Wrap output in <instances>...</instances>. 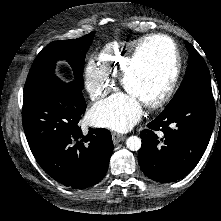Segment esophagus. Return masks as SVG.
<instances>
[{
  "label": "esophagus",
  "mask_w": 221,
  "mask_h": 221,
  "mask_svg": "<svg viewBox=\"0 0 221 221\" xmlns=\"http://www.w3.org/2000/svg\"><path fill=\"white\" fill-rule=\"evenodd\" d=\"M112 139L114 145H117L119 142L123 141L125 139V136L116 132L112 133Z\"/></svg>",
  "instance_id": "1"
}]
</instances>
